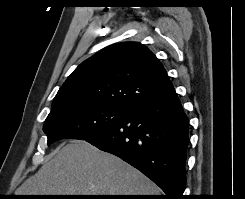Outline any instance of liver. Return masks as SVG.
I'll return each mask as SVG.
<instances>
[{
  "mask_svg": "<svg viewBox=\"0 0 245 199\" xmlns=\"http://www.w3.org/2000/svg\"><path fill=\"white\" fill-rule=\"evenodd\" d=\"M16 195H159L141 172L84 140H72L17 188Z\"/></svg>",
  "mask_w": 245,
  "mask_h": 199,
  "instance_id": "liver-1",
  "label": "liver"
}]
</instances>
